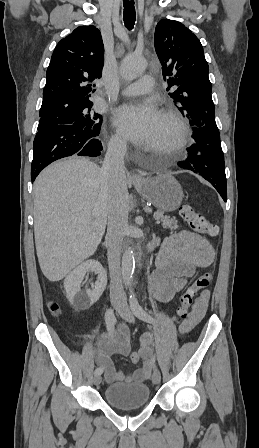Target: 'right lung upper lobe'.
Masks as SVG:
<instances>
[{
	"label": "right lung upper lobe",
	"mask_w": 259,
	"mask_h": 448,
	"mask_svg": "<svg viewBox=\"0 0 259 448\" xmlns=\"http://www.w3.org/2000/svg\"><path fill=\"white\" fill-rule=\"evenodd\" d=\"M104 47L99 29L79 26L56 46L46 72L39 114L93 104L92 81L101 78Z\"/></svg>",
	"instance_id": "cb5924a9"
}]
</instances>
